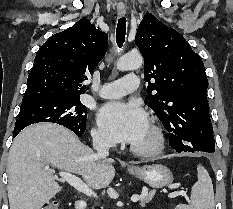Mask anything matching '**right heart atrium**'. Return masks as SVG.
Instances as JSON below:
<instances>
[{
    "mask_svg": "<svg viewBox=\"0 0 233 209\" xmlns=\"http://www.w3.org/2000/svg\"><path fill=\"white\" fill-rule=\"evenodd\" d=\"M93 142L99 146L110 147L113 145L112 141L100 130L93 129L92 131Z\"/></svg>",
    "mask_w": 233,
    "mask_h": 209,
    "instance_id": "obj_1",
    "label": "right heart atrium"
}]
</instances>
